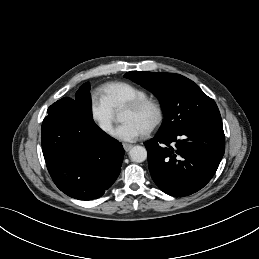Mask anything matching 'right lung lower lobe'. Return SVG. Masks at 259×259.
Returning <instances> with one entry per match:
<instances>
[{
    "label": "right lung lower lobe",
    "mask_w": 259,
    "mask_h": 259,
    "mask_svg": "<svg viewBox=\"0 0 259 259\" xmlns=\"http://www.w3.org/2000/svg\"><path fill=\"white\" fill-rule=\"evenodd\" d=\"M42 123V150L56 186L79 200L102 196L115 182L123 161L120 142L86 118L66 97L47 110Z\"/></svg>",
    "instance_id": "obj_1"
}]
</instances>
